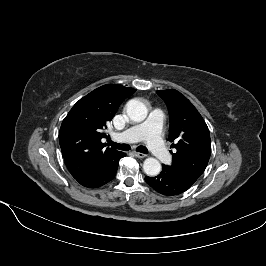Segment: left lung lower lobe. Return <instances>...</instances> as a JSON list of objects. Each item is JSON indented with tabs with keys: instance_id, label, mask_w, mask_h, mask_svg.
Listing matches in <instances>:
<instances>
[{
	"instance_id": "0a47b994",
	"label": "left lung lower lobe",
	"mask_w": 266,
	"mask_h": 266,
	"mask_svg": "<svg viewBox=\"0 0 266 266\" xmlns=\"http://www.w3.org/2000/svg\"><path fill=\"white\" fill-rule=\"evenodd\" d=\"M145 181L149 186L160 194L167 196L179 195L189 189L188 186L184 185L180 181L176 180L162 168L161 173L155 177H145Z\"/></svg>"
}]
</instances>
